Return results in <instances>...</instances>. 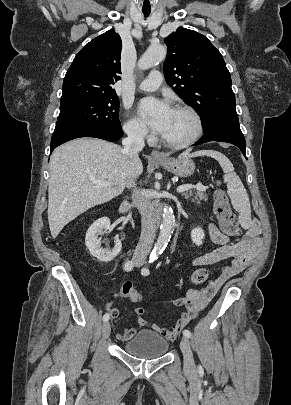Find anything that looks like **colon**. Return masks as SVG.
<instances>
[{
	"instance_id": "5ec220e1",
	"label": "colon",
	"mask_w": 291,
	"mask_h": 405,
	"mask_svg": "<svg viewBox=\"0 0 291 405\" xmlns=\"http://www.w3.org/2000/svg\"><path fill=\"white\" fill-rule=\"evenodd\" d=\"M214 213L217 217L220 229L229 236H239L241 228L233 213L229 199L223 190H217L214 195ZM209 273L204 268L196 269L191 274L193 284H202L207 281ZM121 294L134 302L141 300V294L133 287L131 282H125L121 287Z\"/></svg>"
}]
</instances>
